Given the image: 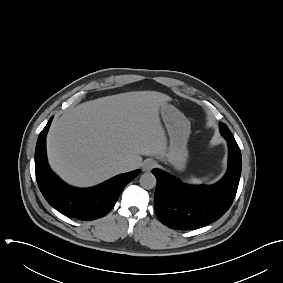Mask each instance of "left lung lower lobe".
<instances>
[{
    "label": "left lung lower lobe",
    "instance_id": "0a47b994",
    "mask_svg": "<svg viewBox=\"0 0 283 283\" xmlns=\"http://www.w3.org/2000/svg\"><path fill=\"white\" fill-rule=\"evenodd\" d=\"M229 148L228 170L212 186L182 184L169 174L153 169L157 179L155 212L166 226L177 230L203 227L219 219L231 206L237 192L242 158L233 136H224Z\"/></svg>",
    "mask_w": 283,
    "mask_h": 283
}]
</instances>
